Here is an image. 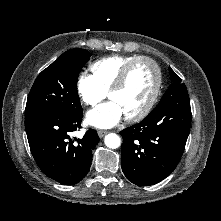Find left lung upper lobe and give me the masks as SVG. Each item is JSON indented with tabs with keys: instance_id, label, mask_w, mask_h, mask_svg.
<instances>
[{
	"instance_id": "5c2ea615",
	"label": "left lung upper lobe",
	"mask_w": 221,
	"mask_h": 221,
	"mask_svg": "<svg viewBox=\"0 0 221 221\" xmlns=\"http://www.w3.org/2000/svg\"><path fill=\"white\" fill-rule=\"evenodd\" d=\"M170 73V80L172 81V84L169 86L168 90L165 92L171 94H186L188 95L186 86L184 83L181 82V78L171 69L169 68Z\"/></svg>"
}]
</instances>
